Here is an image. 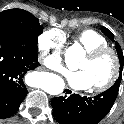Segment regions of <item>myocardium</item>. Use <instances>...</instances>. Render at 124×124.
Instances as JSON below:
<instances>
[{
	"label": "myocardium",
	"instance_id": "1",
	"mask_svg": "<svg viewBox=\"0 0 124 124\" xmlns=\"http://www.w3.org/2000/svg\"><path fill=\"white\" fill-rule=\"evenodd\" d=\"M104 54H110L112 56L113 63H114L113 72H112L110 78L104 84L91 88V91L93 93H103V92L109 90L117 82V80L119 79L120 74H121L120 57H119L118 53L116 52V50H114L113 48H111L109 46H101V47H96V48L90 49V50L86 51L85 56L88 59L92 60V59H97Z\"/></svg>",
	"mask_w": 124,
	"mask_h": 124
}]
</instances>
